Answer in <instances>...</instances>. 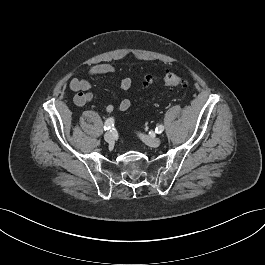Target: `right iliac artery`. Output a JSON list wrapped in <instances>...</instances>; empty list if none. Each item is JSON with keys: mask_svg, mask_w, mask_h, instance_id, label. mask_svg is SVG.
Listing matches in <instances>:
<instances>
[{"mask_svg": "<svg viewBox=\"0 0 265 265\" xmlns=\"http://www.w3.org/2000/svg\"><path fill=\"white\" fill-rule=\"evenodd\" d=\"M114 126V118L110 117L105 121L104 130H110Z\"/></svg>", "mask_w": 265, "mask_h": 265, "instance_id": "right-iliac-artery-1", "label": "right iliac artery"}]
</instances>
